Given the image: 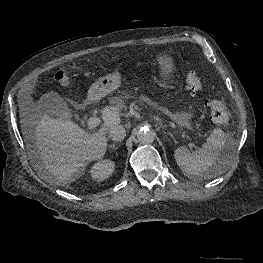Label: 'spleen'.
<instances>
[{"instance_id":"1","label":"spleen","mask_w":263,"mask_h":263,"mask_svg":"<svg viewBox=\"0 0 263 263\" xmlns=\"http://www.w3.org/2000/svg\"><path fill=\"white\" fill-rule=\"evenodd\" d=\"M236 146L234 139L227 138L222 129L215 128L199 150L191 152L181 146L175 150L174 157L186 177L208 178L212 167L215 168L214 175H218L230 166Z\"/></svg>"}]
</instances>
